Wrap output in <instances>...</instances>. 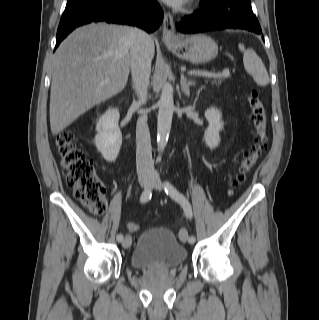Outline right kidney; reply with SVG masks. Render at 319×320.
Masks as SVG:
<instances>
[{
    "instance_id": "ca27d5eb",
    "label": "right kidney",
    "mask_w": 319,
    "mask_h": 320,
    "mask_svg": "<svg viewBox=\"0 0 319 320\" xmlns=\"http://www.w3.org/2000/svg\"><path fill=\"white\" fill-rule=\"evenodd\" d=\"M120 113L117 108L108 109L96 125L95 145L104 159L114 162L122 145V134L118 126Z\"/></svg>"
}]
</instances>
